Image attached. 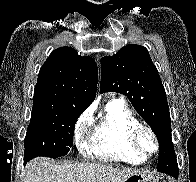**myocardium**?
<instances>
[{
	"mask_svg": "<svg viewBox=\"0 0 196 182\" xmlns=\"http://www.w3.org/2000/svg\"><path fill=\"white\" fill-rule=\"evenodd\" d=\"M144 134L149 135L154 142V147L151 151H146L141 144V138ZM130 142L133 149L145 158L156 154L160 146L159 139L155 131L151 127L142 124L138 125L132 130L130 134Z\"/></svg>",
	"mask_w": 196,
	"mask_h": 182,
	"instance_id": "f54148a6",
	"label": "myocardium"
}]
</instances>
